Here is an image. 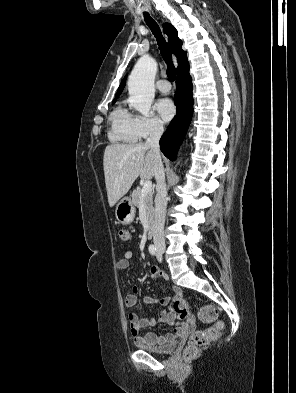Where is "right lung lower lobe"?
<instances>
[{"instance_id":"98d812e1","label":"right lung lower lobe","mask_w":296,"mask_h":393,"mask_svg":"<svg viewBox=\"0 0 296 393\" xmlns=\"http://www.w3.org/2000/svg\"><path fill=\"white\" fill-rule=\"evenodd\" d=\"M176 86L174 101L177 114L160 139L161 151L172 161L176 158L177 149L184 139L193 113L192 79L189 74V64L177 71Z\"/></svg>"}]
</instances>
